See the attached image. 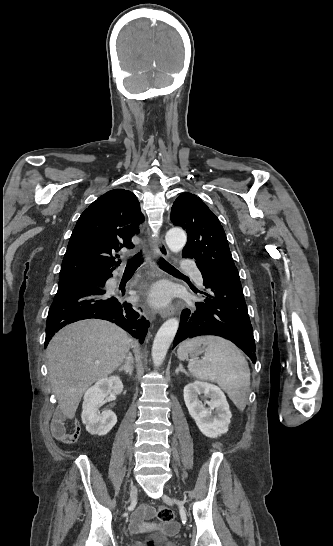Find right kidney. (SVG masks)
Returning <instances> with one entry per match:
<instances>
[{
    "label": "right kidney",
    "mask_w": 333,
    "mask_h": 546,
    "mask_svg": "<svg viewBox=\"0 0 333 546\" xmlns=\"http://www.w3.org/2000/svg\"><path fill=\"white\" fill-rule=\"evenodd\" d=\"M123 383L118 376L99 379L84 395L82 404V421L91 435H106L117 423V417L111 410L99 411L105 397L111 393L120 394Z\"/></svg>",
    "instance_id": "1"
}]
</instances>
